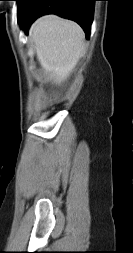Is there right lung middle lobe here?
<instances>
[{
	"label": "right lung middle lobe",
	"instance_id": "right-lung-middle-lobe-1",
	"mask_svg": "<svg viewBox=\"0 0 133 253\" xmlns=\"http://www.w3.org/2000/svg\"><path fill=\"white\" fill-rule=\"evenodd\" d=\"M15 1H17V14L19 18L21 16L23 7L28 0H15Z\"/></svg>",
	"mask_w": 133,
	"mask_h": 253
}]
</instances>
